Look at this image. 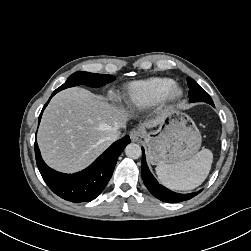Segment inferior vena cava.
<instances>
[{"label": "inferior vena cava", "instance_id": "obj_1", "mask_svg": "<svg viewBox=\"0 0 251 251\" xmlns=\"http://www.w3.org/2000/svg\"><path fill=\"white\" fill-rule=\"evenodd\" d=\"M121 135V132L119 130H113L107 137V141L109 142H114L115 140H117L119 138V136Z\"/></svg>", "mask_w": 251, "mask_h": 251}]
</instances>
